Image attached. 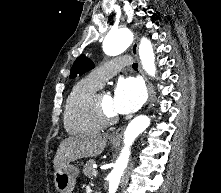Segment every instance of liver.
Returning <instances> with one entry per match:
<instances>
[{
    "instance_id": "obj_1",
    "label": "liver",
    "mask_w": 221,
    "mask_h": 193,
    "mask_svg": "<svg viewBox=\"0 0 221 193\" xmlns=\"http://www.w3.org/2000/svg\"><path fill=\"white\" fill-rule=\"evenodd\" d=\"M107 134L77 135L63 140L53 160L54 169L87 157L100 155L107 143Z\"/></svg>"
}]
</instances>
